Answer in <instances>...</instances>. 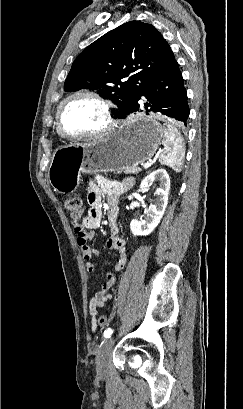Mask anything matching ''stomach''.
Instances as JSON below:
<instances>
[{
  "instance_id": "obj_1",
  "label": "stomach",
  "mask_w": 243,
  "mask_h": 409,
  "mask_svg": "<svg viewBox=\"0 0 243 409\" xmlns=\"http://www.w3.org/2000/svg\"><path fill=\"white\" fill-rule=\"evenodd\" d=\"M163 136V127L155 117L131 116L105 137L56 149L48 169L49 182L59 193L73 192L83 173L137 167L155 154Z\"/></svg>"
}]
</instances>
